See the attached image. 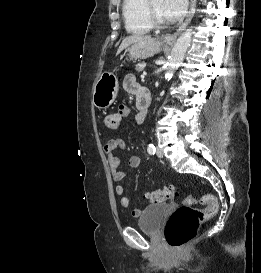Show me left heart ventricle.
I'll use <instances>...</instances> for the list:
<instances>
[{"instance_id": "left-heart-ventricle-1", "label": "left heart ventricle", "mask_w": 261, "mask_h": 273, "mask_svg": "<svg viewBox=\"0 0 261 273\" xmlns=\"http://www.w3.org/2000/svg\"><path fill=\"white\" fill-rule=\"evenodd\" d=\"M153 7L162 21L168 22L163 10V0H152Z\"/></svg>"}]
</instances>
